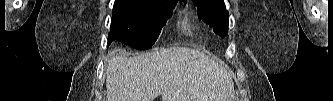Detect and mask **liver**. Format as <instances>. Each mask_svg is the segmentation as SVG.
<instances>
[{
  "label": "liver",
  "mask_w": 333,
  "mask_h": 101,
  "mask_svg": "<svg viewBox=\"0 0 333 101\" xmlns=\"http://www.w3.org/2000/svg\"><path fill=\"white\" fill-rule=\"evenodd\" d=\"M107 101H233L234 85L224 66L187 47L155 49L128 58L110 51Z\"/></svg>",
  "instance_id": "liver-1"
}]
</instances>
